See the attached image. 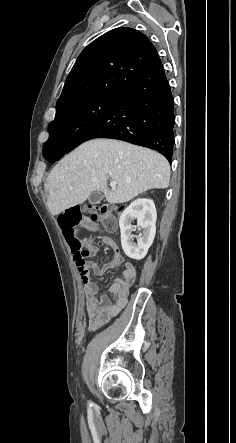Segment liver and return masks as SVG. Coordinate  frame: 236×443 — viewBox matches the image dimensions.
<instances>
[{
	"instance_id": "liver-1",
	"label": "liver",
	"mask_w": 236,
	"mask_h": 443,
	"mask_svg": "<svg viewBox=\"0 0 236 443\" xmlns=\"http://www.w3.org/2000/svg\"><path fill=\"white\" fill-rule=\"evenodd\" d=\"M108 179L117 183L108 189ZM170 165L148 148L113 139L87 141L66 155L45 183L52 215L86 201L94 191L110 204H121L150 189L169 186Z\"/></svg>"
}]
</instances>
